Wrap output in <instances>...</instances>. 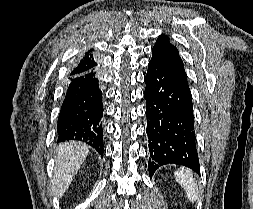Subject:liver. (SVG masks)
Listing matches in <instances>:
<instances>
[{"instance_id":"obj_1","label":"liver","mask_w":253,"mask_h":209,"mask_svg":"<svg viewBox=\"0 0 253 209\" xmlns=\"http://www.w3.org/2000/svg\"><path fill=\"white\" fill-rule=\"evenodd\" d=\"M90 147L82 142L69 141L58 146L51 191L61 198L74 176L80 169L89 152Z\"/></svg>"}]
</instances>
